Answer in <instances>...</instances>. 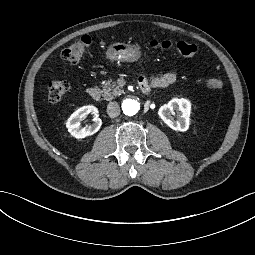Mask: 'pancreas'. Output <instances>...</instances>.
Wrapping results in <instances>:
<instances>
[{
    "instance_id": "pancreas-1",
    "label": "pancreas",
    "mask_w": 255,
    "mask_h": 255,
    "mask_svg": "<svg viewBox=\"0 0 255 255\" xmlns=\"http://www.w3.org/2000/svg\"><path fill=\"white\" fill-rule=\"evenodd\" d=\"M101 93L105 100L111 101L118 98L122 94V90L115 81L109 80L102 85Z\"/></svg>"
}]
</instances>
